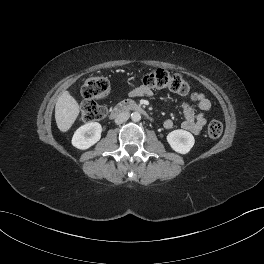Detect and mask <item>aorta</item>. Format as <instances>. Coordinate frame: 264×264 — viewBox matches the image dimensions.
Segmentation results:
<instances>
[{
    "mask_svg": "<svg viewBox=\"0 0 264 264\" xmlns=\"http://www.w3.org/2000/svg\"><path fill=\"white\" fill-rule=\"evenodd\" d=\"M131 119H132V121H134V122H139V121L141 120V115H140V113H139V112H133V113L131 114Z\"/></svg>",
    "mask_w": 264,
    "mask_h": 264,
    "instance_id": "762f6f07",
    "label": "aorta"
}]
</instances>
